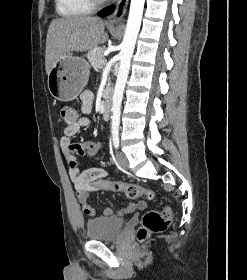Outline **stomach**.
I'll return each instance as SVG.
<instances>
[{
	"label": "stomach",
	"mask_w": 247,
	"mask_h": 280,
	"mask_svg": "<svg viewBox=\"0 0 247 280\" xmlns=\"http://www.w3.org/2000/svg\"><path fill=\"white\" fill-rule=\"evenodd\" d=\"M89 72V64L85 59L67 53L48 75L51 95L64 102L76 99L88 82Z\"/></svg>",
	"instance_id": "1"
}]
</instances>
